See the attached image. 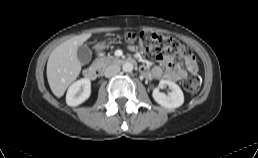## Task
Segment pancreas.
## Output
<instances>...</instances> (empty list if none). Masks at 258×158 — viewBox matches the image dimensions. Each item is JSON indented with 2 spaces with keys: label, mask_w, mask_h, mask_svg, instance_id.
<instances>
[{
  "label": "pancreas",
  "mask_w": 258,
  "mask_h": 158,
  "mask_svg": "<svg viewBox=\"0 0 258 158\" xmlns=\"http://www.w3.org/2000/svg\"><path fill=\"white\" fill-rule=\"evenodd\" d=\"M114 60H115V58L112 57V56H108V57L103 56V57L98 58V59L95 61V63H99V64H101L102 66H107V65H109L111 62H113Z\"/></svg>",
  "instance_id": "1"
}]
</instances>
